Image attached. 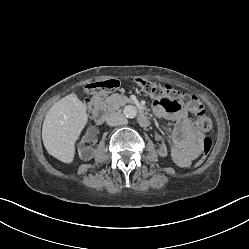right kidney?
I'll return each instance as SVG.
<instances>
[{"label":"right kidney","mask_w":249,"mask_h":249,"mask_svg":"<svg viewBox=\"0 0 249 249\" xmlns=\"http://www.w3.org/2000/svg\"><path fill=\"white\" fill-rule=\"evenodd\" d=\"M98 132V128L93 126L90 127L87 133L83 136V139L81 140L78 147V154L82 160L86 161L93 158L94 151L89 147L93 145L94 142L92 139L97 137ZM84 143H86V145L89 147H85Z\"/></svg>","instance_id":"obj_1"}]
</instances>
